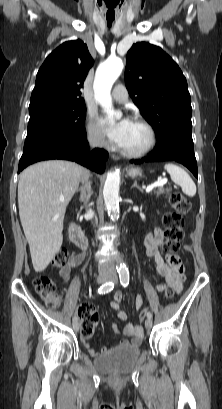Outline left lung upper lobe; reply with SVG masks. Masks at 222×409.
<instances>
[{
    "label": "left lung upper lobe",
    "mask_w": 222,
    "mask_h": 409,
    "mask_svg": "<svg viewBox=\"0 0 222 409\" xmlns=\"http://www.w3.org/2000/svg\"><path fill=\"white\" fill-rule=\"evenodd\" d=\"M125 83L157 139L171 132L191 134V98L179 66L160 47L139 42L127 53Z\"/></svg>",
    "instance_id": "5c2ea615"
}]
</instances>
